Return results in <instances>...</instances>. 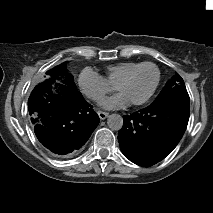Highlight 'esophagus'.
<instances>
[{
    "mask_svg": "<svg viewBox=\"0 0 213 213\" xmlns=\"http://www.w3.org/2000/svg\"><path fill=\"white\" fill-rule=\"evenodd\" d=\"M98 115H99L101 120H104L108 117L109 114L107 112L98 111Z\"/></svg>",
    "mask_w": 213,
    "mask_h": 213,
    "instance_id": "34e87169",
    "label": "esophagus"
}]
</instances>
